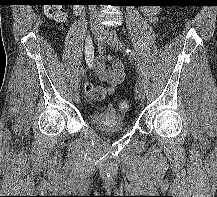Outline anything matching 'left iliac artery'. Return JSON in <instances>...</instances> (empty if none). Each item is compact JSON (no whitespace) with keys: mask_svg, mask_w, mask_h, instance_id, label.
<instances>
[{"mask_svg":"<svg viewBox=\"0 0 217 197\" xmlns=\"http://www.w3.org/2000/svg\"><path fill=\"white\" fill-rule=\"evenodd\" d=\"M112 43L117 50L123 51L130 59H137L135 52L131 49L125 48L123 43L120 41L116 31H112Z\"/></svg>","mask_w":217,"mask_h":197,"instance_id":"obj_1","label":"left iliac artery"}]
</instances>
